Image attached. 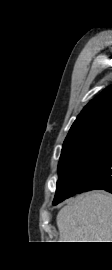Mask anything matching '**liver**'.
<instances>
[{
  "mask_svg": "<svg viewBox=\"0 0 112 270\" xmlns=\"http://www.w3.org/2000/svg\"><path fill=\"white\" fill-rule=\"evenodd\" d=\"M60 242H112V195L82 194L57 215Z\"/></svg>",
  "mask_w": 112,
  "mask_h": 270,
  "instance_id": "obj_1",
  "label": "liver"
}]
</instances>
